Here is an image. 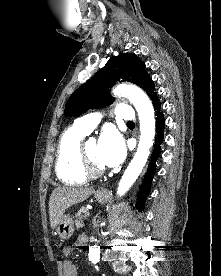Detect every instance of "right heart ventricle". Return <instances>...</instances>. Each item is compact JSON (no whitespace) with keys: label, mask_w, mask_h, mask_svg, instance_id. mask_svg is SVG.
Listing matches in <instances>:
<instances>
[{"label":"right heart ventricle","mask_w":221,"mask_h":276,"mask_svg":"<svg viewBox=\"0 0 221 276\" xmlns=\"http://www.w3.org/2000/svg\"><path fill=\"white\" fill-rule=\"evenodd\" d=\"M86 135L76 127H71L60 137L56 153V173L66 184H83L88 179L80 154L81 142Z\"/></svg>","instance_id":"1"}]
</instances>
